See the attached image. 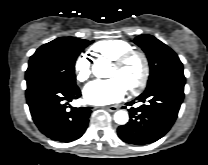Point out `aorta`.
<instances>
[{
    "mask_svg": "<svg viewBox=\"0 0 208 165\" xmlns=\"http://www.w3.org/2000/svg\"><path fill=\"white\" fill-rule=\"evenodd\" d=\"M109 68V63L105 58H99L94 61L92 67L93 74L98 78L105 77V73ZM129 120L128 113L124 110H119L114 114V121L119 125H125Z\"/></svg>",
    "mask_w": 208,
    "mask_h": 165,
    "instance_id": "obj_1",
    "label": "aorta"
}]
</instances>
